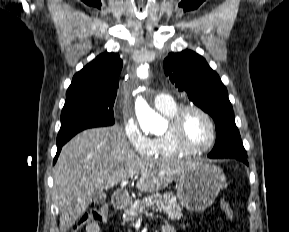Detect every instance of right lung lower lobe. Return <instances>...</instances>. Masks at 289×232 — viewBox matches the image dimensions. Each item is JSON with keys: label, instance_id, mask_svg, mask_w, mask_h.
<instances>
[{"label": "right lung lower lobe", "instance_id": "right-lung-lower-lobe-1", "mask_svg": "<svg viewBox=\"0 0 289 232\" xmlns=\"http://www.w3.org/2000/svg\"><path fill=\"white\" fill-rule=\"evenodd\" d=\"M62 146H63V145L57 146V154H56V157H55V159H54V163H55L56 160H57V157H58V155H59V153H60V151H61Z\"/></svg>", "mask_w": 289, "mask_h": 232}]
</instances>
